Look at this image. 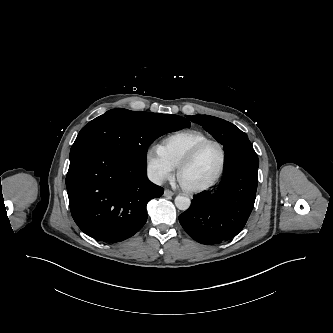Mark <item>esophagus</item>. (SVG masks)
Returning a JSON list of instances; mask_svg holds the SVG:
<instances>
[{"instance_id": "1", "label": "esophagus", "mask_w": 333, "mask_h": 333, "mask_svg": "<svg viewBox=\"0 0 333 333\" xmlns=\"http://www.w3.org/2000/svg\"><path fill=\"white\" fill-rule=\"evenodd\" d=\"M174 195V192H172L171 190H169V189H165V191H164V196L165 197H171V196H173Z\"/></svg>"}]
</instances>
